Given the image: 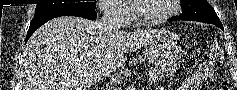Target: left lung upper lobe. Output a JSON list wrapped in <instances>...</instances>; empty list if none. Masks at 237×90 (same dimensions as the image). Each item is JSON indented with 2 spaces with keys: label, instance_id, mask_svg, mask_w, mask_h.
Returning <instances> with one entry per match:
<instances>
[{
  "label": "left lung upper lobe",
  "instance_id": "5c2ea615",
  "mask_svg": "<svg viewBox=\"0 0 237 90\" xmlns=\"http://www.w3.org/2000/svg\"><path fill=\"white\" fill-rule=\"evenodd\" d=\"M183 12L179 16L184 19L221 24L213 7L206 0H180Z\"/></svg>",
  "mask_w": 237,
  "mask_h": 90
}]
</instances>
